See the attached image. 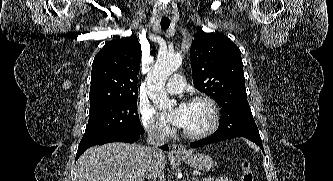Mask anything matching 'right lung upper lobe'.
<instances>
[{
    "instance_id": "right-lung-upper-lobe-1",
    "label": "right lung upper lobe",
    "mask_w": 333,
    "mask_h": 181,
    "mask_svg": "<svg viewBox=\"0 0 333 181\" xmlns=\"http://www.w3.org/2000/svg\"><path fill=\"white\" fill-rule=\"evenodd\" d=\"M140 61L141 45L135 35L105 44L93 61L90 108L138 98Z\"/></svg>"
}]
</instances>
